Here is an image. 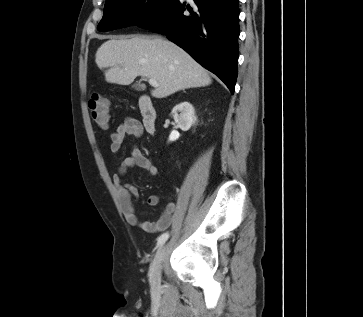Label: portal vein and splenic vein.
<instances>
[{"label":"portal vein and splenic vein","instance_id":"obj_1","mask_svg":"<svg viewBox=\"0 0 363 317\" xmlns=\"http://www.w3.org/2000/svg\"><path fill=\"white\" fill-rule=\"evenodd\" d=\"M149 84L151 86H153V87H158L159 86L158 82L155 79H153V78H150L149 79Z\"/></svg>","mask_w":363,"mask_h":317}]
</instances>
